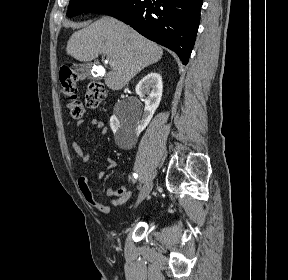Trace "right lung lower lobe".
Masks as SVG:
<instances>
[{"label": "right lung lower lobe", "instance_id": "1", "mask_svg": "<svg viewBox=\"0 0 288 280\" xmlns=\"http://www.w3.org/2000/svg\"><path fill=\"white\" fill-rule=\"evenodd\" d=\"M201 6L202 0H125L104 14L173 50L186 65L196 39Z\"/></svg>", "mask_w": 288, "mask_h": 280}]
</instances>
